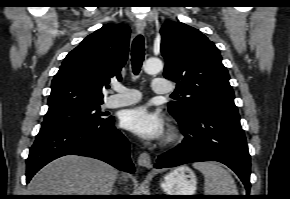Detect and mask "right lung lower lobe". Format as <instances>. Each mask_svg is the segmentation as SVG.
<instances>
[{"mask_svg":"<svg viewBox=\"0 0 290 199\" xmlns=\"http://www.w3.org/2000/svg\"><path fill=\"white\" fill-rule=\"evenodd\" d=\"M129 147L115 128L113 117L102 123L42 127L27 158V182L50 161L71 154L96 158L134 173Z\"/></svg>","mask_w":290,"mask_h":199,"instance_id":"obj_1","label":"right lung lower lobe"}]
</instances>
